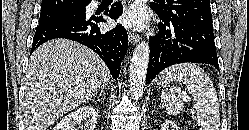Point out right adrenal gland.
<instances>
[{"mask_svg": "<svg viewBox=\"0 0 249 130\" xmlns=\"http://www.w3.org/2000/svg\"><path fill=\"white\" fill-rule=\"evenodd\" d=\"M105 92V89L101 90L99 95L96 96V100L97 101H100L101 100V97L103 96V93Z\"/></svg>", "mask_w": 249, "mask_h": 130, "instance_id": "right-adrenal-gland-1", "label": "right adrenal gland"}]
</instances>
